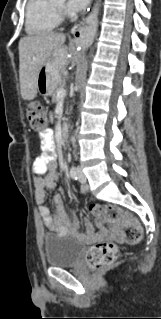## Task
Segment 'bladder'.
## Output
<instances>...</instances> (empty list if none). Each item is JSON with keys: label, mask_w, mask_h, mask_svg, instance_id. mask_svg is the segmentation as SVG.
Listing matches in <instances>:
<instances>
[{"label": "bladder", "mask_w": 161, "mask_h": 319, "mask_svg": "<svg viewBox=\"0 0 161 319\" xmlns=\"http://www.w3.org/2000/svg\"><path fill=\"white\" fill-rule=\"evenodd\" d=\"M84 252V244L72 236L47 234L43 240L44 261L47 266L75 265Z\"/></svg>", "instance_id": "obj_1"}]
</instances>
